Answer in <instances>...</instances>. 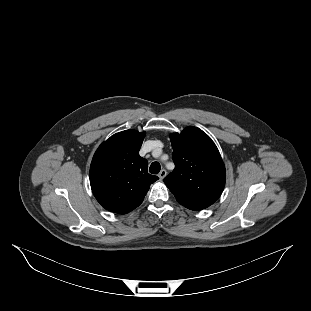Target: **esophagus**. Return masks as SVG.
<instances>
[{"label":"esophagus","mask_w":311,"mask_h":311,"mask_svg":"<svg viewBox=\"0 0 311 311\" xmlns=\"http://www.w3.org/2000/svg\"><path fill=\"white\" fill-rule=\"evenodd\" d=\"M167 175V172L165 169H162L160 172H159V178L160 179H163L165 176Z\"/></svg>","instance_id":"esophagus-1"}]
</instances>
